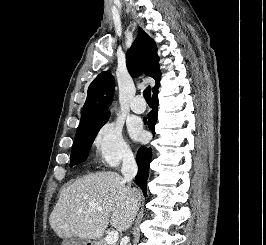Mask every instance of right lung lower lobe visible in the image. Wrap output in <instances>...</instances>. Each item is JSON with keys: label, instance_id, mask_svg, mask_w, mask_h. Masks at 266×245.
Instances as JSON below:
<instances>
[{"label": "right lung lower lobe", "instance_id": "right-lung-lower-lobe-1", "mask_svg": "<svg viewBox=\"0 0 266 245\" xmlns=\"http://www.w3.org/2000/svg\"><path fill=\"white\" fill-rule=\"evenodd\" d=\"M158 90L153 92L152 96V103H153V109L148 114L145 123L148 124L149 129L154 133L155 131V124L157 121V114H158V98H157ZM152 151L151 148L147 147H140L137 153V164H138V173L135 178L136 184L142 189L144 195L146 196V182L149 174V164L151 161Z\"/></svg>", "mask_w": 266, "mask_h": 245}]
</instances>
